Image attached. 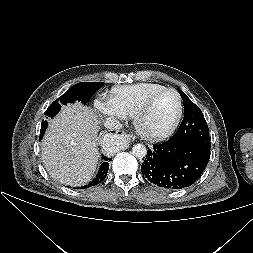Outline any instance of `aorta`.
Instances as JSON below:
<instances>
[{
	"mask_svg": "<svg viewBox=\"0 0 253 253\" xmlns=\"http://www.w3.org/2000/svg\"><path fill=\"white\" fill-rule=\"evenodd\" d=\"M113 149H116V146L112 147ZM132 153L136 158H144L147 154V148L143 144H136L132 148Z\"/></svg>",
	"mask_w": 253,
	"mask_h": 253,
	"instance_id": "obj_1",
	"label": "aorta"
}]
</instances>
